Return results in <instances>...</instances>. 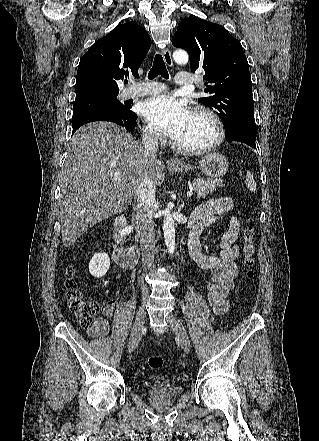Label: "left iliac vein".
Masks as SVG:
<instances>
[{"instance_id": "obj_1", "label": "left iliac vein", "mask_w": 319, "mask_h": 441, "mask_svg": "<svg viewBox=\"0 0 319 441\" xmlns=\"http://www.w3.org/2000/svg\"><path fill=\"white\" fill-rule=\"evenodd\" d=\"M166 320L177 335L183 350L189 353L191 348L190 339L181 321L172 313L167 316Z\"/></svg>"}]
</instances>
